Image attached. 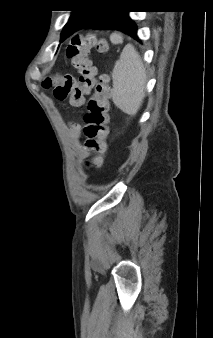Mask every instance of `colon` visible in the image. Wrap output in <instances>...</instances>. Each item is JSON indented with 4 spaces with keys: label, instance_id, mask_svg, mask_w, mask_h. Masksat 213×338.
<instances>
[{
    "label": "colon",
    "instance_id": "colon-1",
    "mask_svg": "<svg viewBox=\"0 0 213 338\" xmlns=\"http://www.w3.org/2000/svg\"><path fill=\"white\" fill-rule=\"evenodd\" d=\"M95 48L100 53L108 51L105 38L90 33L74 36L67 46L66 55L71 67L79 74L78 81L70 74L54 76L45 81V88H54L58 100L67 97L72 106L78 107L83 102L84 94L92 92L83 116V133L86 147L95 155L88 161L89 165L102 166L100 153L110 135L109 99L111 89L105 76L97 79V69L90 60V51Z\"/></svg>",
    "mask_w": 213,
    "mask_h": 338
}]
</instances>
